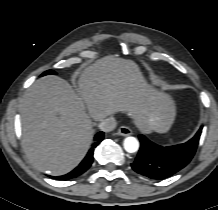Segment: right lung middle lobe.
Instances as JSON below:
<instances>
[{"label":"right lung middle lobe","mask_w":218,"mask_h":210,"mask_svg":"<svg viewBox=\"0 0 218 210\" xmlns=\"http://www.w3.org/2000/svg\"><path fill=\"white\" fill-rule=\"evenodd\" d=\"M51 74H56L53 70H48V71H45L42 76L44 75H51Z\"/></svg>","instance_id":"obj_1"}]
</instances>
